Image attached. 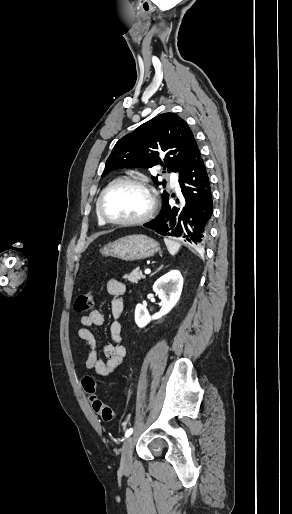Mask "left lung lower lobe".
<instances>
[{"mask_svg":"<svg viewBox=\"0 0 292 514\" xmlns=\"http://www.w3.org/2000/svg\"><path fill=\"white\" fill-rule=\"evenodd\" d=\"M181 200L169 203L165 194L160 214L144 226L165 236L184 239L201 247L207 237L213 214L210 180L196 140L191 145L187 162L179 174ZM173 197L175 195H172Z\"/></svg>","mask_w":292,"mask_h":514,"instance_id":"obj_1","label":"left lung lower lobe"}]
</instances>
